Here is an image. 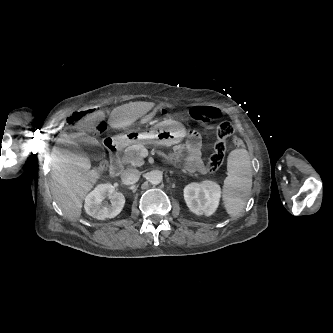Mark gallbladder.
Segmentation results:
<instances>
[{"mask_svg":"<svg viewBox=\"0 0 333 333\" xmlns=\"http://www.w3.org/2000/svg\"><path fill=\"white\" fill-rule=\"evenodd\" d=\"M74 140L83 146L93 159L97 160L104 157V148L100 145L96 138L82 133L77 135Z\"/></svg>","mask_w":333,"mask_h":333,"instance_id":"bac80fb5","label":"gallbladder"}]
</instances>
